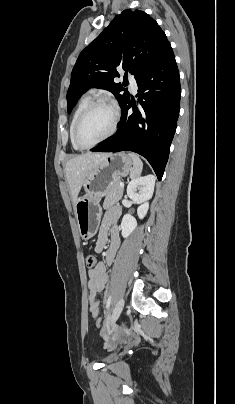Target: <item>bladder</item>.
<instances>
[{
	"label": "bladder",
	"instance_id": "31cf9c89",
	"mask_svg": "<svg viewBox=\"0 0 235 404\" xmlns=\"http://www.w3.org/2000/svg\"><path fill=\"white\" fill-rule=\"evenodd\" d=\"M114 358H115V356L114 355H109V356H107L106 358H105V362L106 363H110V362H112L113 360H114Z\"/></svg>",
	"mask_w": 235,
	"mask_h": 404
}]
</instances>
